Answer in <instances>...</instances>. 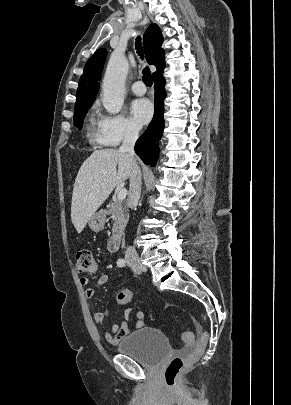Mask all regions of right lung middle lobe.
I'll list each match as a JSON object with an SVG mask.
<instances>
[{
	"instance_id": "dd1d6c3e",
	"label": "right lung middle lobe",
	"mask_w": 291,
	"mask_h": 405,
	"mask_svg": "<svg viewBox=\"0 0 291 405\" xmlns=\"http://www.w3.org/2000/svg\"><path fill=\"white\" fill-rule=\"evenodd\" d=\"M89 108L78 110L74 112V125L78 127V129L82 128L84 117L87 113Z\"/></svg>"
}]
</instances>
